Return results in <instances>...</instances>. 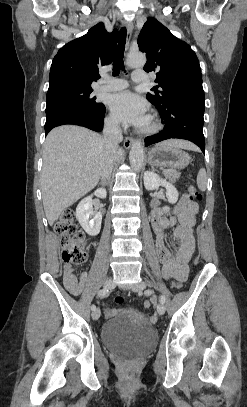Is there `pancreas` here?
Segmentation results:
<instances>
[{"label":"pancreas","mask_w":247,"mask_h":407,"mask_svg":"<svg viewBox=\"0 0 247 407\" xmlns=\"http://www.w3.org/2000/svg\"><path fill=\"white\" fill-rule=\"evenodd\" d=\"M163 174L171 182H175L180 178V173L174 170H164Z\"/></svg>","instance_id":"cf45deb5"}]
</instances>
